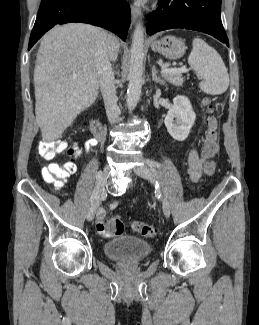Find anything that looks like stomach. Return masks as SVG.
Segmentation results:
<instances>
[{
	"mask_svg": "<svg viewBox=\"0 0 259 325\" xmlns=\"http://www.w3.org/2000/svg\"><path fill=\"white\" fill-rule=\"evenodd\" d=\"M151 49L169 60H177L184 55L186 46L182 39L167 35L160 40L153 41Z\"/></svg>",
	"mask_w": 259,
	"mask_h": 325,
	"instance_id": "1",
	"label": "stomach"
}]
</instances>
